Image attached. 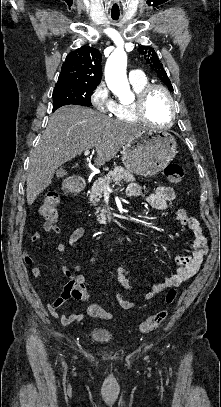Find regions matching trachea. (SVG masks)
<instances>
[{"instance_id":"3493384b","label":"trachea","mask_w":221,"mask_h":407,"mask_svg":"<svg viewBox=\"0 0 221 407\" xmlns=\"http://www.w3.org/2000/svg\"><path fill=\"white\" fill-rule=\"evenodd\" d=\"M111 18L116 21L119 19V16H111Z\"/></svg>"}]
</instances>
